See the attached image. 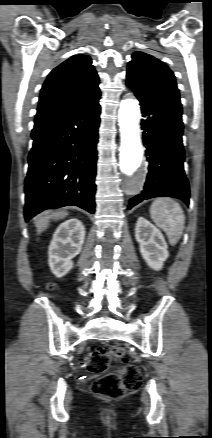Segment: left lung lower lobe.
I'll list each match as a JSON object with an SVG mask.
<instances>
[{
  "mask_svg": "<svg viewBox=\"0 0 212 438\" xmlns=\"http://www.w3.org/2000/svg\"><path fill=\"white\" fill-rule=\"evenodd\" d=\"M140 102L141 128L148 155V175L141 194L129 201L128 209L153 197H176L189 204V183L183 163L182 106L133 89Z\"/></svg>",
  "mask_w": 212,
  "mask_h": 438,
  "instance_id": "left-lung-lower-lobe-1",
  "label": "left lung lower lobe"
}]
</instances>
